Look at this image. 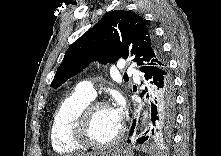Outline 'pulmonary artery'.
I'll return each instance as SVG.
<instances>
[{
    "mask_svg": "<svg viewBox=\"0 0 221 156\" xmlns=\"http://www.w3.org/2000/svg\"><path fill=\"white\" fill-rule=\"evenodd\" d=\"M124 69L129 74L134 72V69L131 66H126ZM77 90L79 92H81L82 94H84V95H86V96H88V97H90L92 99L96 95L94 86H93L92 82H90V81H82V82H80L78 84V86H77Z\"/></svg>",
    "mask_w": 221,
    "mask_h": 156,
    "instance_id": "1",
    "label": "pulmonary artery"
}]
</instances>
